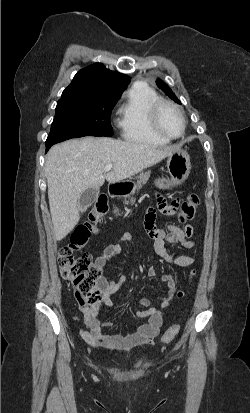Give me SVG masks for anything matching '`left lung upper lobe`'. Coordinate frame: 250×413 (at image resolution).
Here are the masks:
<instances>
[{
  "label": "left lung upper lobe",
  "instance_id": "5c2ea615",
  "mask_svg": "<svg viewBox=\"0 0 250 413\" xmlns=\"http://www.w3.org/2000/svg\"><path fill=\"white\" fill-rule=\"evenodd\" d=\"M156 83L171 99H173L178 104H181L180 100L177 99L175 94L171 91V89L162 80L157 79Z\"/></svg>",
  "mask_w": 250,
  "mask_h": 413
}]
</instances>
